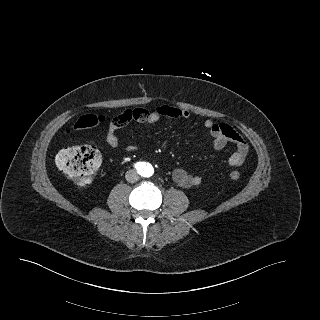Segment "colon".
I'll list each match as a JSON object with an SVG mask.
<instances>
[{
	"label": "colon",
	"mask_w": 320,
	"mask_h": 320,
	"mask_svg": "<svg viewBox=\"0 0 320 320\" xmlns=\"http://www.w3.org/2000/svg\"><path fill=\"white\" fill-rule=\"evenodd\" d=\"M102 121V117L86 115L77 122L74 128L90 129ZM100 163L99 149L91 142L63 149L56 157L57 167L79 186H86L91 183ZM230 178L238 180L240 174L233 171L230 173Z\"/></svg>",
	"instance_id": "colon-1"
}]
</instances>
